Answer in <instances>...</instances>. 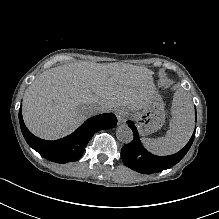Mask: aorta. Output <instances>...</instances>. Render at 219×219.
Masks as SVG:
<instances>
[{"label": "aorta", "instance_id": "obj_1", "mask_svg": "<svg viewBox=\"0 0 219 219\" xmlns=\"http://www.w3.org/2000/svg\"><path fill=\"white\" fill-rule=\"evenodd\" d=\"M116 136L120 142L128 144L133 140V131L127 125H121L116 130Z\"/></svg>", "mask_w": 219, "mask_h": 219}]
</instances>
